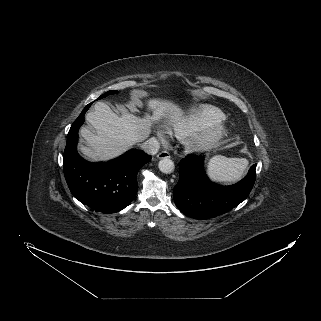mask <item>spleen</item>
<instances>
[{"label":"spleen","instance_id":"spleen-1","mask_svg":"<svg viewBox=\"0 0 321 321\" xmlns=\"http://www.w3.org/2000/svg\"><path fill=\"white\" fill-rule=\"evenodd\" d=\"M248 166L245 158H227L214 156L207 164L209 177L220 183H231L239 180Z\"/></svg>","mask_w":321,"mask_h":321}]
</instances>
